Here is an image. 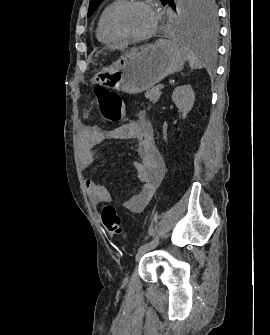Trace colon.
Instances as JSON below:
<instances>
[{
	"label": "colon",
	"mask_w": 270,
	"mask_h": 335,
	"mask_svg": "<svg viewBox=\"0 0 270 335\" xmlns=\"http://www.w3.org/2000/svg\"><path fill=\"white\" fill-rule=\"evenodd\" d=\"M92 95L105 121L117 123L124 117L126 108L120 95L104 86L93 87ZM101 216L103 225L108 232L114 236L127 237L124 223L114 205H104Z\"/></svg>",
	"instance_id": "1"
}]
</instances>
